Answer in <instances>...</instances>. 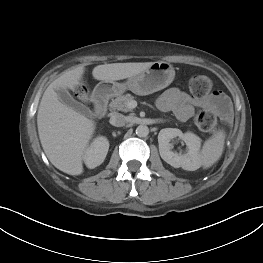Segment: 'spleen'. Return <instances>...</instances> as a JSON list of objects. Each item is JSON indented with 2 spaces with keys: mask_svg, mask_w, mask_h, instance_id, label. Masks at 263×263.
<instances>
[{
  "mask_svg": "<svg viewBox=\"0 0 263 263\" xmlns=\"http://www.w3.org/2000/svg\"><path fill=\"white\" fill-rule=\"evenodd\" d=\"M224 141L225 133L218 131L204 143L200 153V163L202 166L208 168L220 158L224 148Z\"/></svg>",
  "mask_w": 263,
  "mask_h": 263,
  "instance_id": "1",
  "label": "spleen"
}]
</instances>
